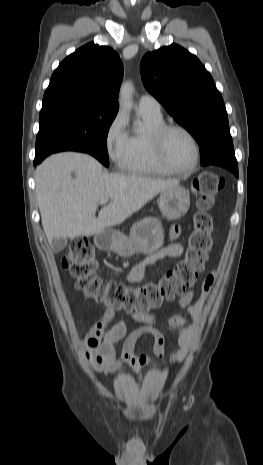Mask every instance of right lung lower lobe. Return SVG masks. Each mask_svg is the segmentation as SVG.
Here are the masks:
<instances>
[{
    "label": "right lung lower lobe",
    "mask_w": 263,
    "mask_h": 465,
    "mask_svg": "<svg viewBox=\"0 0 263 465\" xmlns=\"http://www.w3.org/2000/svg\"><path fill=\"white\" fill-rule=\"evenodd\" d=\"M64 151H67V150H64ZM71 151H79V150L71 149ZM80 152H82V151H80ZM40 162L41 161H39V160H34V165L39 164Z\"/></svg>",
    "instance_id": "obj_1"
}]
</instances>
